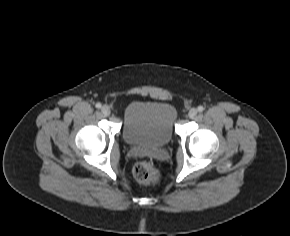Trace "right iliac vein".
<instances>
[{"label":"right iliac vein","mask_w":290,"mask_h":236,"mask_svg":"<svg viewBox=\"0 0 290 236\" xmlns=\"http://www.w3.org/2000/svg\"><path fill=\"white\" fill-rule=\"evenodd\" d=\"M101 112L103 115L108 116L110 115V108L107 105H103L101 107Z\"/></svg>","instance_id":"right-iliac-vein-1"}]
</instances>
